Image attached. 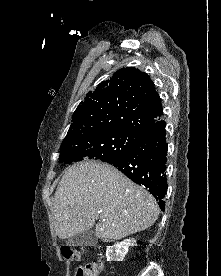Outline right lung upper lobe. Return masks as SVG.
Wrapping results in <instances>:
<instances>
[{"mask_svg":"<svg viewBox=\"0 0 221 276\" xmlns=\"http://www.w3.org/2000/svg\"><path fill=\"white\" fill-rule=\"evenodd\" d=\"M162 115L150 77L134 67L122 68L86 95L63 142L112 132L142 137Z\"/></svg>","mask_w":221,"mask_h":276,"instance_id":"obj_1","label":"right lung upper lobe"}]
</instances>
